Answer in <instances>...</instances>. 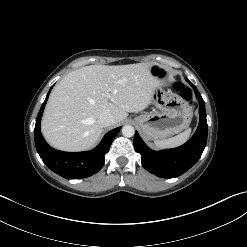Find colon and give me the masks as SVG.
Here are the masks:
<instances>
[{
  "label": "colon",
  "mask_w": 247,
  "mask_h": 247,
  "mask_svg": "<svg viewBox=\"0 0 247 247\" xmlns=\"http://www.w3.org/2000/svg\"><path fill=\"white\" fill-rule=\"evenodd\" d=\"M174 88L180 93V95L186 99L190 100L191 99V92L189 89H187L182 83L177 82L174 85Z\"/></svg>",
  "instance_id": "obj_1"
}]
</instances>
